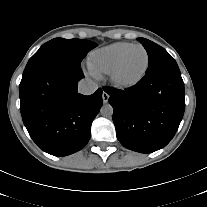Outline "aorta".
<instances>
[{
	"label": "aorta",
	"mask_w": 207,
	"mask_h": 207,
	"mask_svg": "<svg viewBox=\"0 0 207 207\" xmlns=\"http://www.w3.org/2000/svg\"><path fill=\"white\" fill-rule=\"evenodd\" d=\"M113 112V107L110 104H104L100 109V113L104 117H111Z\"/></svg>",
	"instance_id": "aorta-1"
}]
</instances>
